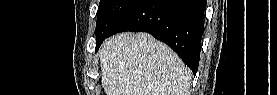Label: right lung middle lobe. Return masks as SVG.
Returning <instances> with one entry per match:
<instances>
[{
    "instance_id": "1",
    "label": "right lung middle lobe",
    "mask_w": 277,
    "mask_h": 95,
    "mask_svg": "<svg viewBox=\"0 0 277 95\" xmlns=\"http://www.w3.org/2000/svg\"><path fill=\"white\" fill-rule=\"evenodd\" d=\"M144 0H100L96 23V51L113 28Z\"/></svg>"
}]
</instances>
